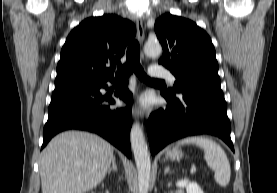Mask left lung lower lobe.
<instances>
[{
	"label": "left lung lower lobe",
	"mask_w": 277,
	"mask_h": 193,
	"mask_svg": "<svg viewBox=\"0 0 277 193\" xmlns=\"http://www.w3.org/2000/svg\"><path fill=\"white\" fill-rule=\"evenodd\" d=\"M161 94L168 105L164 110L152 113L147 122L151 154L177 139L199 134L218 136L234 152L227 104L220 85L188 87L179 92V97Z\"/></svg>",
	"instance_id": "left-lung-lower-lobe-1"
}]
</instances>
